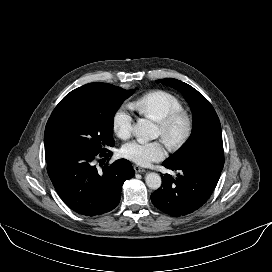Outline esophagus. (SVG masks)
<instances>
[{"mask_svg": "<svg viewBox=\"0 0 272 272\" xmlns=\"http://www.w3.org/2000/svg\"><path fill=\"white\" fill-rule=\"evenodd\" d=\"M134 170L136 173H143V172H146V170L142 167H139L137 165L134 166Z\"/></svg>", "mask_w": 272, "mask_h": 272, "instance_id": "obj_1", "label": "esophagus"}]
</instances>
